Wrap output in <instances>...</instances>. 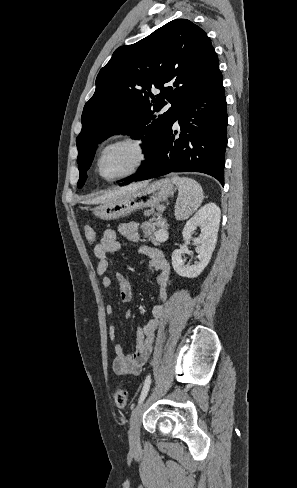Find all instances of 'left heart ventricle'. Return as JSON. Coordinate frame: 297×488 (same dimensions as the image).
<instances>
[{
  "instance_id": "left-heart-ventricle-1",
  "label": "left heart ventricle",
  "mask_w": 297,
  "mask_h": 488,
  "mask_svg": "<svg viewBox=\"0 0 297 488\" xmlns=\"http://www.w3.org/2000/svg\"><path fill=\"white\" fill-rule=\"evenodd\" d=\"M139 150L130 143L116 145L104 154L102 171L106 177H114L129 170L139 158Z\"/></svg>"
}]
</instances>
